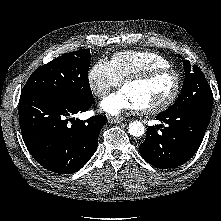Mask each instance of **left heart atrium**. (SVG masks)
<instances>
[{
  "label": "left heart atrium",
  "mask_w": 221,
  "mask_h": 221,
  "mask_svg": "<svg viewBox=\"0 0 221 221\" xmlns=\"http://www.w3.org/2000/svg\"><path fill=\"white\" fill-rule=\"evenodd\" d=\"M101 109L111 115L125 111H138L139 108L131 97L122 89L106 97L100 104Z\"/></svg>",
  "instance_id": "1"
}]
</instances>
